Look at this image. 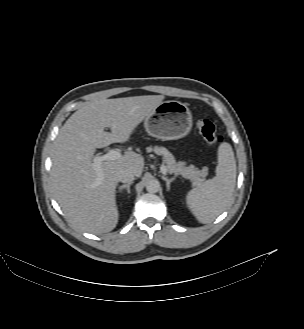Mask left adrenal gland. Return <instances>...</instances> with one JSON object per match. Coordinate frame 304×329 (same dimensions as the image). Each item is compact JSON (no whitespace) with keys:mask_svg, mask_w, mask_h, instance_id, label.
<instances>
[{"mask_svg":"<svg viewBox=\"0 0 304 329\" xmlns=\"http://www.w3.org/2000/svg\"><path fill=\"white\" fill-rule=\"evenodd\" d=\"M162 179L164 181H166V188H167V191H170V184L175 180V178H167L165 176H162Z\"/></svg>","mask_w":304,"mask_h":329,"instance_id":"1","label":"left adrenal gland"}]
</instances>
